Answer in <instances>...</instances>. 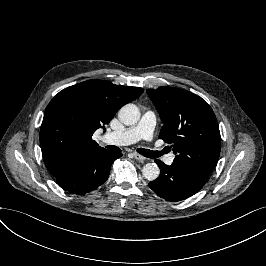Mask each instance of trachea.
Instances as JSON below:
<instances>
[{
  "instance_id": "3493384b",
  "label": "trachea",
  "mask_w": 266,
  "mask_h": 266,
  "mask_svg": "<svg viewBox=\"0 0 266 266\" xmlns=\"http://www.w3.org/2000/svg\"><path fill=\"white\" fill-rule=\"evenodd\" d=\"M107 148L110 149V150H114V151H120V149L118 147L113 146V145L107 146ZM137 152L140 153L141 155H143L145 157H148V158H151V159L158 158L161 155L165 154L164 150H162V151H151V150L143 149V148H139L137 150Z\"/></svg>"
}]
</instances>
